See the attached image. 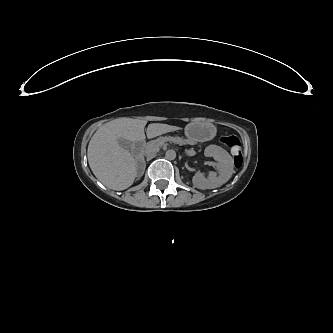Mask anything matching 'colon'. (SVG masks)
I'll return each instance as SVG.
<instances>
[{
	"label": "colon",
	"mask_w": 333,
	"mask_h": 333,
	"mask_svg": "<svg viewBox=\"0 0 333 333\" xmlns=\"http://www.w3.org/2000/svg\"><path fill=\"white\" fill-rule=\"evenodd\" d=\"M221 142L231 150L234 164L237 168H240L243 163V156L239 139L235 136H224L221 138Z\"/></svg>",
	"instance_id": "5ec220e1"
}]
</instances>
